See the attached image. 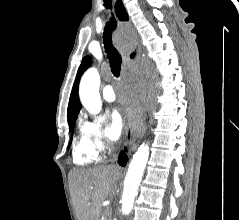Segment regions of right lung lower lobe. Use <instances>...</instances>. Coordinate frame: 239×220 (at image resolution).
<instances>
[{
	"label": "right lung lower lobe",
	"instance_id": "1",
	"mask_svg": "<svg viewBox=\"0 0 239 220\" xmlns=\"http://www.w3.org/2000/svg\"><path fill=\"white\" fill-rule=\"evenodd\" d=\"M126 160H127V156H126V154L124 153V151H122V152L120 153V155H119L118 163H119L120 165L124 166L125 163H126Z\"/></svg>",
	"mask_w": 239,
	"mask_h": 220
}]
</instances>
